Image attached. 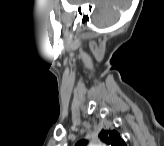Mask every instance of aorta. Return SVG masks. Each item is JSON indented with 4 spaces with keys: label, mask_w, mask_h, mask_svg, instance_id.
Masks as SVG:
<instances>
[{
    "label": "aorta",
    "mask_w": 164,
    "mask_h": 146,
    "mask_svg": "<svg viewBox=\"0 0 164 146\" xmlns=\"http://www.w3.org/2000/svg\"><path fill=\"white\" fill-rule=\"evenodd\" d=\"M92 144H94V145H96V146H97V145H100V144H98V143H96V142H94V143H92Z\"/></svg>",
    "instance_id": "762f6f07"
}]
</instances>
